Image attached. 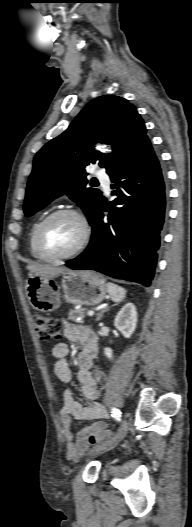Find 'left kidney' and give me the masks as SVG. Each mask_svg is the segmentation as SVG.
Returning a JSON list of instances; mask_svg holds the SVG:
<instances>
[{
    "mask_svg": "<svg viewBox=\"0 0 192 527\" xmlns=\"http://www.w3.org/2000/svg\"><path fill=\"white\" fill-rule=\"evenodd\" d=\"M137 325V311L133 303L125 304L119 311L114 320V326L123 334L125 338H130ZM104 354L108 359H112L113 353L110 348L104 349Z\"/></svg>",
    "mask_w": 192,
    "mask_h": 527,
    "instance_id": "1",
    "label": "left kidney"
}]
</instances>
